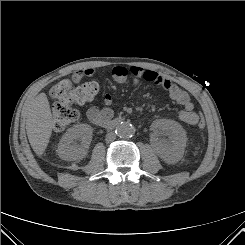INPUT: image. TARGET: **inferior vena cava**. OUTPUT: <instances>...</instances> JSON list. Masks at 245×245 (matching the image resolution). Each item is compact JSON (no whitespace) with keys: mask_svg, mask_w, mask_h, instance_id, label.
<instances>
[{"mask_svg":"<svg viewBox=\"0 0 245 245\" xmlns=\"http://www.w3.org/2000/svg\"><path fill=\"white\" fill-rule=\"evenodd\" d=\"M116 138V134L114 132H109L107 135H106V141L107 142H112L114 141Z\"/></svg>","mask_w":245,"mask_h":245,"instance_id":"602c4592","label":"inferior vena cava"}]
</instances>
